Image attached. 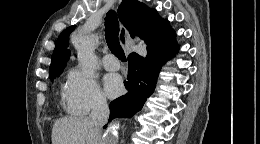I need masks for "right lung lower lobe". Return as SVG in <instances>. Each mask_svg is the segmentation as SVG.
I'll use <instances>...</instances> for the list:
<instances>
[{
  "label": "right lung lower lobe",
  "mask_w": 260,
  "mask_h": 144,
  "mask_svg": "<svg viewBox=\"0 0 260 144\" xmlns=\"http://www.w3.org/2000/svg\"><path fill=\"white\" fill-rule=\"evenodd\" d=\"M177 49L174 35L148 48L146 57L135 52L128 56V77L124 82L128 93L110 103V121L116 117H131L142 109L146 99L154 92L161 67Z\"/></svg>",
  "instance_id": "obj_1"
}]
</instances>
